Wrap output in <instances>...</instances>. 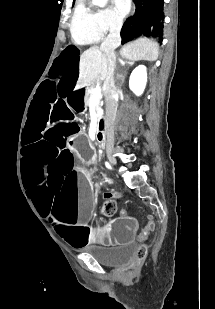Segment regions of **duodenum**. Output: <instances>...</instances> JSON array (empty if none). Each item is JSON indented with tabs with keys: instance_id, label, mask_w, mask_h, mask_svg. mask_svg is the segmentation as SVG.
Here are the masks:
<instances>
[{
	"instance_id": "obj_1",
	"label": "duodenum",
	"mask_w": 215,
	"mask_h": 309,
	"mask_svg": "<svg viewBox=\"0 0 215 309\" xmlns=\"http://www.w3.org/2000/svg\"><path fill=\"white\" fill-rule=\"evenodd\" d=\"M104 123L105 121L102 118L98 120V129L96 132V143L99 148L106 147Z\"/></svg>"
}]
</instances>
